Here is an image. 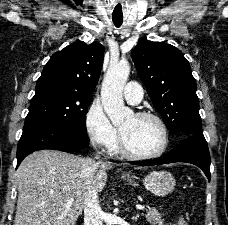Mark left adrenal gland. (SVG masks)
<instances>
[{"mask_svg":"<svg viewBox=\"0 0 228 225\" xmlns=\"http://www.w3.org/2000/svg\"><path fill=\"white\" fill-rule=\"evenodd\" d=\"M139 215H136V217H132V221H137Z\"/></svg>","mask_w":228,"mask_h":225,"instance_id":"left-adrenal-gland-1","label":"left adrenal gland"}]
</instances>
